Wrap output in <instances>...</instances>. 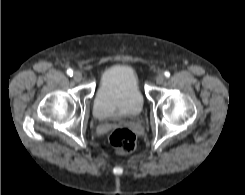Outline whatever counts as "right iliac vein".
<instances>
[{
	"label": "right iliac vein",
	"instance_id": "63e3f726",
	"mask_svg": "<svg viewBox=\"0 0 245 195\" xmlns=\"http://www.w3.org/2000/svg\"><path fill=\"white\" fill-rule=\"evenodd\" d=\"M73 79L76 81V82H80L82 80V73L79 72V71H76L73 75Z\"/></svg>",
	"mask_w": 245,
	"mask_h": 195
}]
</instances>
